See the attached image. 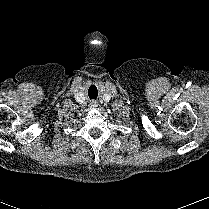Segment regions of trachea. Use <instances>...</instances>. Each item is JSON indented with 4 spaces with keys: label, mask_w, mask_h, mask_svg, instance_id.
<instances>
[{
    "label": "trachea",
    "mask_w": 209,
    "mask_h": 209,
    "mask_svg": "<svg viewBox=\"0 0 209 209\" xmlns=\"http://www.w3.org/2000/svg\"><path fill=\"white\" fill-rule=\"evenodd\" d=\"M88 95L90 97V99H96L98 96V90L96 88V86H91L88 90Z\"/></svg>",
    "instance_id": "obj_1"
}]
</instances>
